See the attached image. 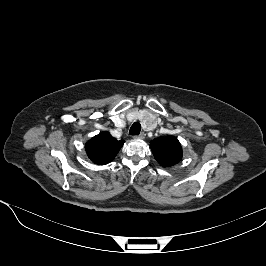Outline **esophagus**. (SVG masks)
Listing matches in <instances>:
<instances>
[{
    "label": "esophagus",
    "instance_id": "1",
    "mask_svg": "<svg viewBox=\"0 0 266 266\" xmlns=\"http://www.w3.org/2000/svg\"><path fill=\"white\" fill-rule=\"evenodd\" d=\"M134 137L137 138V139H144L145 138V134L142 132L139 135H135Z\"/></svg>",
    "mask_w": 266,
    "mask_h": 266
}]
</instances>
